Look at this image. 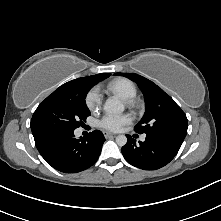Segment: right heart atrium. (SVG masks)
<instances>
[{"label":"right heart atrium","mask_w":221,"mask_h":221,"mask_svg":"<svg viewBox=\"0 0 221 221\" xmlns=\"http://www.w3.org/2000/svg\"><path fill=\"white\" fill-rule=\"evenodd\" d=\"M102 102V95L98 87L91 88L85 97V104L91 111L97 110Z\"/></svg>","instance_id":"obj_1"}]
</instances>
